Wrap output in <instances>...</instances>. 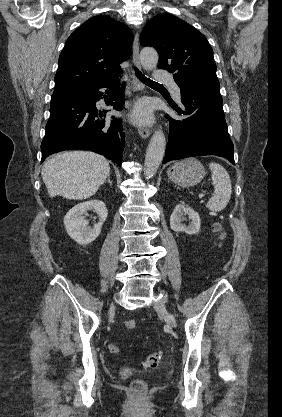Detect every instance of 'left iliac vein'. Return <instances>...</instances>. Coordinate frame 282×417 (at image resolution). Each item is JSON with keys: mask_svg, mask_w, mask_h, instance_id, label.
Wrapping results in <instances>:
<instances>
[{"mask_svg": "<svg viewBox=\"0 0 282 417\" xmlns=\"http://www.w3.org/2000/svg\"><path fill=\"white\" fill-rule=\"evenodd\" d=\"M154 308L155 310L160 313L165 322L171 326V327H175L176 326V320L174 318V316L168 311L166 305L164 304V302L162 300H158L157 302L154 303Z\"/></svg>", "mask_w": 282, "mask_h": 417, "instance_id": "4c4485c4", "label": "left iliac vein"}]
</instances>
